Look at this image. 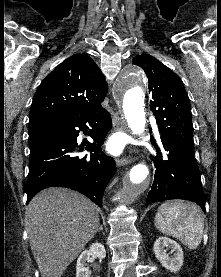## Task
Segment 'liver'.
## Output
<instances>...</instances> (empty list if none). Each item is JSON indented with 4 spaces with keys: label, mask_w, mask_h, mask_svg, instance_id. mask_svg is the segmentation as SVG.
<instances>
[{
    "label": "liver",
    "mask_w": 221,
    "mask_h": 277,
    "mask_svg": "<svg viewBox=\"0 0 221 277\" xmlns=\"http://www.w3.org/2000/svg\"><path fill=\"white\" fill-rule=\"evenodd\" d=\"M25 222L42 277H61L100 225L97 206L65 188H48L34 196Z\"/></svg>",
    "instance_id": "liver-1"
}]
</instances>
